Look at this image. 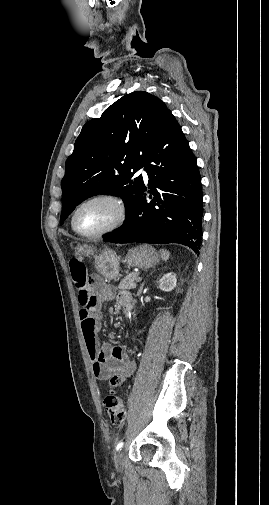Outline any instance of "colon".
Listing matches in <instances>:
<instances>
[{
    "label": "colon",
    "mask_w": 269,
    "mask_h": 505,
    "mask_svg": "<svg viewBox=\"0 0 269 505\" xmlns=\"http://www.w3.org/2000/svg\"><path fill=\"white\" fill-rule=\"evenodd\" d=\"M92 251V248L89 246H77L74 257L72 259H82L85 261L92 255ZM83 269L86 271L85 265ZM118 385H120L118 379H109V386L111 390H113ZM104 404L112 425L121 426L125 422L127 416V411L123 400L111 391V393L105 397Z\"/></svg>",
    "instance_id": "5ec220e1"
}]
</instances>
